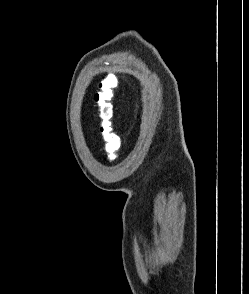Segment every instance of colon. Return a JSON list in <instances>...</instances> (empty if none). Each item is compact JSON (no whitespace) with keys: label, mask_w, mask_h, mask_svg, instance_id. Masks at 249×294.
<instances>
[{"label":"colon","mask_w":249,"mask_h":294,"mask_svg":"<svg viewBox=\"0 0 249 294\" xmlns=\"http://www.w3.org/2000/svg\"><path fill=\"white\" fill-rule=\"evenodd\" d=\"M115 86L110 82H101L95 94V103L100 118V133L107 142L110 156L118 149L119 136L113 130L114 104L112 102Z\"/></svg>","instance_id":"5ec220e1"}]
</instances>
